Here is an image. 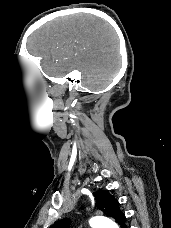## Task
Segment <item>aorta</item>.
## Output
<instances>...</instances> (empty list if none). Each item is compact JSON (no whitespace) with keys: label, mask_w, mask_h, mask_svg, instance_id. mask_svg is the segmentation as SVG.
<instances>
[{"label":"aorta","mask_w":171,"mask_h":228,"mask_svg":"<svg viewBox=\"0 0 171 228\" xmlns=\"http://www.w3.org/2000/svg\"><path fill=\"white\" fill-rule=\"evenodd\" d=\"M89 224L92 228H118L114 221L102 216L93 217L90 219Z\"/></svg>","instance_id":"1"}]
</instances>
